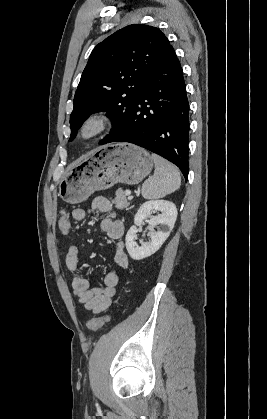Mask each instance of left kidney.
<instances>
[{
  "label": "left kidney",
  "mask_w": 267,
  "mask_h": 419,
  "mask_svg": "<svg viewBox=\"0 0 267 419\" xmlns=\"http://www.w3.org/2000/svg\"><path fill=\"white\" fill-rule=\"evenodd\" d=\"M153 211H160L161 214L151 216ZM176 218L177 208L173 202L167 200H150L143 203L134 217V225L128 230L125 238L126 249L130 257L134 260H141L158 251L169 237ZM144 220L152 228L148 233L150 242L138 246L135 242L136 233L138 232L137 226H140ZM157 225H161V229L155 232L153 228Z\"/></svg>",
  "instance_id": "5707ae66"
}]
</instances>
